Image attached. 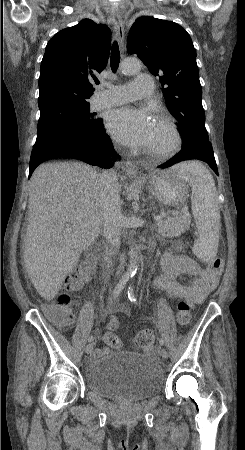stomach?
I'll use <instances>...</instances> for the list:
<instances>
[{
  "mask_svg": "<svg viewBox=\"0 0 245 450\" xmlns=\"http://www.w3.org/2000/svg\"><path fill=\"white\" fill-rule=\"evenodd\" d=\"M148 188L154 198L170 207L183 204L189 196L187 181L175 169L153 172Z\"/></svg>",
  "mask_w": 245,
  "mask_h": 450,
  "instance_id": "1",
  "label": "stomach"
}]
</instances>
